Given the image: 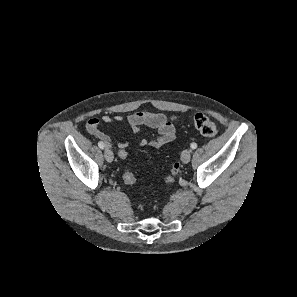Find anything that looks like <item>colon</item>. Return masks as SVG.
Returning <instances> with one entry per match:
<instances>
[{
	"label": "colon",
	"mask_w": 297,
	"mask_h": 297,
	"mask_svg": "<svg viewBox=\"0 0 297 297\" xmlns=\"http://www.w3.org/2000/svg\"><path fill=\"white\" fill-rule=\"evenodd\" d=\"M193 124L197 131L206 137H213L218 133V127L214 121H212L205 114L197 113L193 117ZM118 157L120 159H125L127 157V152L125 150H120L118 152ZM180 171L179 163H175L171 169L170 174L167 176L166 181L172 182L177 177ZM123 180L126 185L132 186L136 183V178L130 170H126L123 175Z\"/></svg>",
	"instance_id": "colon-1"
}]
</instances>
